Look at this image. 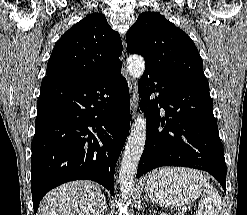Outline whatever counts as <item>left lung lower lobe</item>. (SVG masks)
I'll list each match as a JSON object with an SVG mask.
<instances>
[{
  "label": "left lung lower lobe",
  "instance_id": "0a47b994",
  "mask_svg": "<svg viewBox=\"0 0 247 215\" xmlns=\"http://www.w3.org/2000/svg\"><path fill=\"white\" fill-rule=\"evenodd\" d=\"M147 120L136 177L160 166L207 171L226 193V163L209 89L146 70L138 83ZM159 93L154 98L151 96Z\"/></svg>",
  "mask_w": 247,
  "mask_h": 215
}]
</instances>
